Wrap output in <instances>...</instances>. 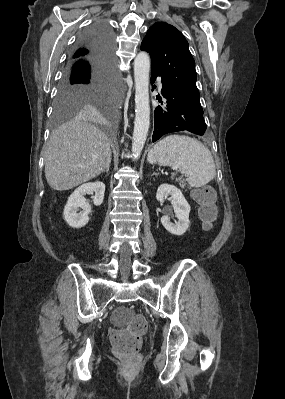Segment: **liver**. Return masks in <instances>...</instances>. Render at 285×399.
<instances>
[{"label": "liver", "instance_id": "6515ba94", "mask_svg": "<svg viewBox=\"0 0 285 399\" xmlns=\"http://www.w3.org/2000/svg\"><path fill=\"white\" fill-rule=\"evenodd\" d=\"M44 160L49 186L69 190L109 167L111 143L100 129L77 116L51 134Z\"/></svg>", "mask_w": 285, "mask_h": 399}]
</instances>
